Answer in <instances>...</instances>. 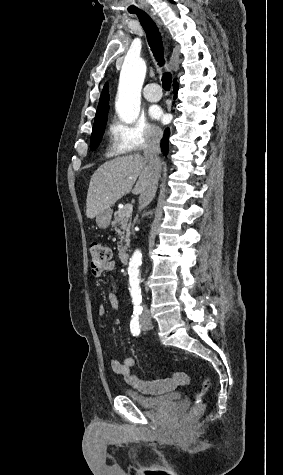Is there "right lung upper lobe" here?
<instances>
[{
    "mask_svg": "<svg viewBox=\"0 0 283 475\" xmlns=\"http://www.w3.org/2000/svg\"><path fill=\"white\" fill-rule=\"evenodd\" d=\"M108 102H109V86H108V83H106L103 87L98 107L103 106V105H108Z\"/></svg>",
    "mask_w": 283,
    "mask_h": 475,
    "instance_id": "right-lung-upper-lobe-1",
    "label": "right lung upper lobe"
}]
</instances>
